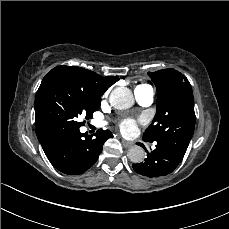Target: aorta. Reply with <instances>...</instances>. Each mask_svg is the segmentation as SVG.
<instances>
[{
  "mask_svg": "<svg viewBox=\"0 0 229 229\" xmlns=\"http://www.w3.org/2000/svg\"><path fill=\"white\" fill-rule=\"evenodd\" d=\"M109 102L112 107L124 110L128 109L134 104V96L130 89L126 87H116L112 90ZM128 158L133 163H141L145 158V151L140 146H133L128 150Z\"/></svg>",
  "mask_w": 229,
  "mask_h": 229,
  "instance_id": "aorta-1",
  "label": "aorta"
}]
</instances>
